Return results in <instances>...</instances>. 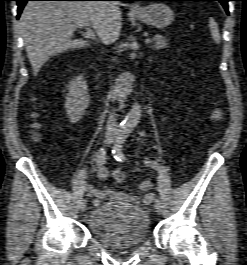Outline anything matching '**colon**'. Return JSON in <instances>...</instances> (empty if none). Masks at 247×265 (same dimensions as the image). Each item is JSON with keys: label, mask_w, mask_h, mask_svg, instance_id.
<instances>
[{"label": "colon", "mask_w": 247, "mask_h": 265, "mask_svg": "<svg viewBox=\"0 0 247 265\" xmlns=\"http://www.w3.org/2000/svg\"><path fill=\"white\" fill-rule=\"evenodd\" d=\"M212 117L215 121H220L222 118L221 110L219 108H215L213 110ZM113 177H114L115 181L118 183H122L125 180V176H124L123 172H121L120 170H114L113 171Z\"/></svg>", "instance_id": "obj_1"}]
</instances>
